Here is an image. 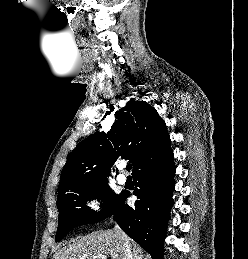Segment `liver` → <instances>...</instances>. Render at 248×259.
Listing matches in <instances>:
<instances>
[{
  "label": "liver",
  "instance_id": "1",
  "mask_svg": "<svg viewBox=\"0 0 248 259\" xmlns=\"http://www.w3.org/2000/svg\"><path fill=\"white\" fill-rule=\"evenodd\" d=\"M134 259H145L138 244L127 237ZM125 238L115 230H100L77 238L60 248L53 259H98L99 255H109L111 259H125Z\"/></svg>",
  "mask_w": 248,
  "mask_h": 259
}]
</instances>
